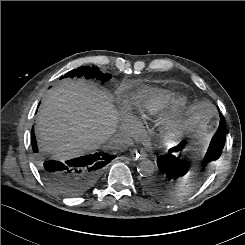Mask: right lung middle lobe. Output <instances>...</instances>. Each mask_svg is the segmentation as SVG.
<instances>
[{
	"mask_svg": "<svg viewBox=\"0 0 245 245\" xmlns=\"http://www.w3.org/2000/svg\"><path fill=\"white\" fill-rule=\"evenodd\" d=\"M84 76L85 78H93L100 80L102 82H106L111 78V76L108 73H102L98 67H90V66H82L77 69H74L70 71L68 74H65L64 77H82ZM63 77H61L62 79Z\"/></svg>",
	"mask_w": 245,
	"mask_h": 245,
	"instance_id": "obj_1",
	"label": "right lung middle lobe"
}]
</instances>
